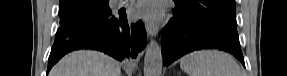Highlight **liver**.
Returning <instances> with one entry per match:
<instances>
[{"label":"liver","mask_w":287,"mask_h":76,"mask_svg":"<svg viewBox=\"0 0 287 76\" xmlns=\"http://www.w3.org/2000/svg\"><path fill=\"white\" fill-rule=\"evenodd\" d=\"M50 76H121V65L102 52L79 50L64 56Z\"/></svg>","instance_id":"liver-1"}]
</instances>
